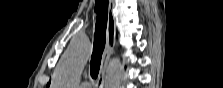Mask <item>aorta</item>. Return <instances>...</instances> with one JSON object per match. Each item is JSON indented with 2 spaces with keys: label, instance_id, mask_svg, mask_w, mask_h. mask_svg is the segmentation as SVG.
Returning a JSON list of instances; mask_svg holds the SVG:
<instances>
[{
  "label": "aorta",
  "instance_id": "obj_1",
  "mask_svg": "<svg viewBox=\"0 0 223 88\" xmlns=\"http://www.w3.org/2000/svg\"><path fill=\"white\" fill-rule=\"evenodd\" d=\"M90 55L88 44L75 40L62 55L53 77L55 88H75ZM122 79V64L118 58L110 61L105 76V88H117Z\"/></svg>",
  "mask_w": 223,
  "mask_h": 88
}]
</instances>
